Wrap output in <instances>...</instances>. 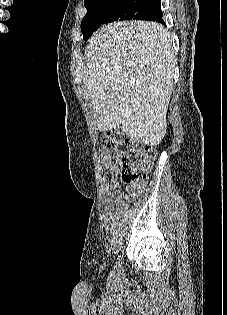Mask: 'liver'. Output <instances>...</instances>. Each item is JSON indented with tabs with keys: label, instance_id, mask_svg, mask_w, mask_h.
<instances>
[{
	"label": "liver",
	"instance_id": "6515ba94",
	"mask_svg": "<svg viewBox=\"0 0 227 315\" xmlns=\"http://www.w3.org/2000/svg\"><path fill=\"white\" fill-rule=\"evenodd\" d=\"M84 95L95 127L122 125L131 140L150 146L166 135L175 57L167 30L156 22H114L98 29L85 49Z\"/></svg>",
	"mask_w": 227,
	"mask_h": 315
}]
</instances>
